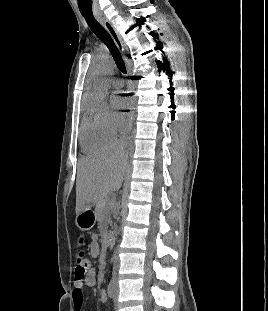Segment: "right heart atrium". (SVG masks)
<instances>
[{
	"label": "right heart atrium",
	"mask_w": 268,
	"mask_h": 311,
	"mask_svg": "<svg viewBox=\"0 0 268 311\" xmlns=\"http://www.w3.org/2000/svg\"><path fill=\"white\" fill-rule=\"evenodd\" d=\"M93 109L102 120L106 128L115 136L125 129L126 124L121 115L113 110L107 103L102 102L96 104Z\"/></svg>",
	"instance_id": "right-heart-atrium-1"
}]
</instances>
